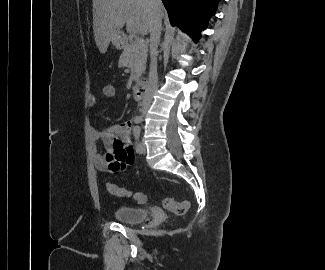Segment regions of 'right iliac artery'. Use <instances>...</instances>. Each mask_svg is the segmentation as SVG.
Returning <instances> with one entry per match:
<instances>
[{"instance_id":"1","label":"right iliac artery","mask_w":325,"mask_h":270,"mask_svg":"<svg viewBox=\"0 0 325 270\" xmlns=\"http://www.w3.org/2000/svg\"><path fill=\"white\" fill-rule=\"evenodd\" d=\"M141 121H142V117H140V116H137L134 118V123H136V124L141 123Z\"/></svg>"}]
</instances>
